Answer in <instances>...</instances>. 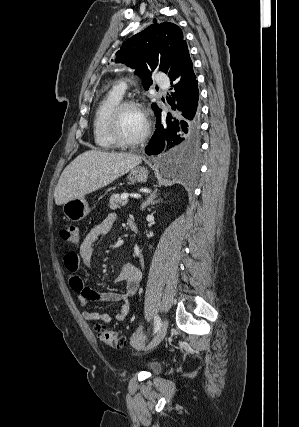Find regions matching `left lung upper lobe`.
I'll return each mask as SVG.
<instances>
[{
  "instance_id": "5c2ea615",
  "label": "left lung upper lobe",
  "mask_w": 299,
  "mask_h": 427,
  "mask_svg": "<svg viewBox=\"0 0 299 427\" xmlns=\"http://www.w3.org/2000/svg\"><path fill=\"white\" fill-rule=\"evenodd\" d=\"M183 41L182 30L177 25L168 22L153 24L125 41L113 63H126L136 69L147 90L152 84L150 71L158 67L168 73ZM156 107L153 103L152 108Z\"/></svg>"
}]
</instances>
